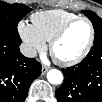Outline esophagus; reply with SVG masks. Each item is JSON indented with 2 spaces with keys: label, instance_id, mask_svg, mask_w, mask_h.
Wrapping results in <instances>:
<instances>
[{
  "label": "esophagus",
  "instance_id": "34e87169",
  "mask_svg": "<svg viewBox=\"0 0 102 102\" xmlns=\"http://www.w3.org/2000/svg\"><path fill=\"white\" fill-rule=\"evenodd\" d=\"M48 70H49V67L43 65V66H42V69H41V74H42V75H45Z\"/></svg>",
  "mask_w": 102,
  "mask_h": 102
}]
</instances>
